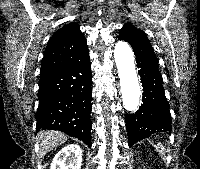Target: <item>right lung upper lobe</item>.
I'll return each instance as SVG.
<instances>
[{
    "mask_svg": "<svg viewBox=\"0 0 200 169\" xmlns=\"http://www.w3.org/2000/svg\"><path fill=\"white\" fill-rule=\"evenodd\" d=\"M87 51V42L79 25L69 23L56 31L49 40L40 74L70 65Z\"/></svg>",
    "mask_w": 200,
    "mask_h": 169,
    "instance_id": "right-lung-upper-lobe-1",
    "label": "right lung upper lobe"
}]
</instances>
